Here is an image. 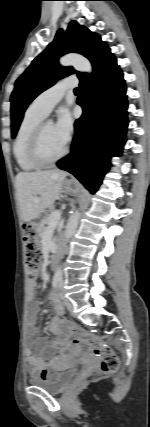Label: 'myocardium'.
<instances>
[{"label": "myocardium", "mask_w": 150, "mask_h": 427, "mask_svg": "<svg viewBox=\"0 0 150 427\" xmlns=\"http://www.w3.org/2000/svg\"><path fill=\"white\" fill-rule=\"evenodd\" d=\"M47 124L48 123L41 122L36 127V129L34 130L31 136L30 143H29V150H28L29 158L35 165L39 167H47V166L53 165L56 162L60 161L62 158H64L68 153V147L65 146L63 151L58 156L51 159H47L43 157L41 152V141H42L44 128Z\"/></svg>", "instance_id": "myocardium-1"}]
</instances>
